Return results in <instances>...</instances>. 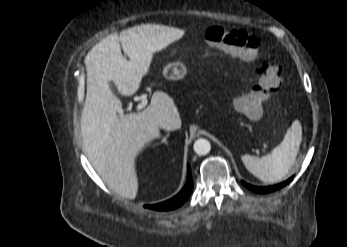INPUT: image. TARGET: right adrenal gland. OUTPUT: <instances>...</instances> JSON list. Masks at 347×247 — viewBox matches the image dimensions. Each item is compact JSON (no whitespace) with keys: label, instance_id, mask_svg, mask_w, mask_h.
Returning a JSON list of instances; mask_svg holds the SVG:
<instances>
[{"label":"right adrenal gland","instance_id":"obj_1","mask_svg":"<svg viewBox=\"0 0 347 247\" xmlns=\"http://www.w3.org/2000/svg\"><path fill=\"white\" fill-rule=\"evenodd\" d=\"M169 137V133L163 137L160 144H167V138Z\"/></svg>","mask_w":347,"mask_h":247}]
</instances>
